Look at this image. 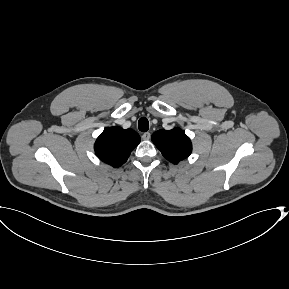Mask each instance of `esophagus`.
I'll list each match as a JSON object with an SVG mask.
<instances>
[{
    "label": "esophagus",
    "instance_id": "obj_1",
    "mask_svg": "<svg viewBox=\"0 0 289 289\" xmlns=\"http://www.w3.org/2000/svg\"><path fill=\"white\" fill-rule=\"evenodd\" d=\"M151 137V134L149 132H145L142 134V139L143 140H149Z\"/></svg>",
    "mask_w": 289,
    "mask_h": 289
}]
</instances>
